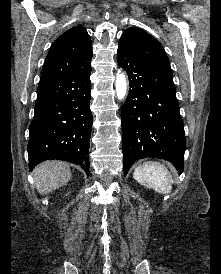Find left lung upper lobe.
<instances>
[{
    "label": "left lung upper lobe",
    "instance_id": "5c2ea615",
    "mask_svg": "<svg viewBox=\"0 0 221 274\" xmlns=\"http://www.w3.org/2000/svg\"><path fill=\"white\" fill-rule=\"evenodd\" d=\"M118 48L144 62L172 73L170 62L161 44L143 30L130 27L120 37Z\"/></svg>",
    "mask_w": 221,
    "mask_h": 274
}]
</instances>
